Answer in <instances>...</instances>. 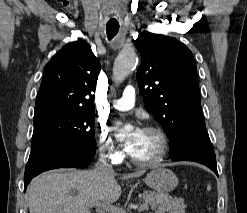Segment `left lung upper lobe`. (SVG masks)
Wrapping results in <instances>:
<instances>
[{
  "label": "left lung upper lobe",
  "instance_id": "5c2ea615",
  "mask_svg": "<svg viewBox=\"0 0 247 213\" xmlns=\"http://www.w3.org/2000/svg\"><path fill=\"white\" fill-rule=\"evenodd\" d=\"M135 46L143 59L137 81L144 106L174 150L192 130H206L194 57L175 38L147 31L139 33Z\"/></svg>",
  "mask_w": 247,
  "mask_h": 213
}]
</instances>
